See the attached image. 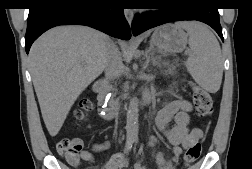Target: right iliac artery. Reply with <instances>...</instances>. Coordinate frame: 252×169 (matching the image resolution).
Returning <instances> with one entry per match:
<instances>
[{"mask_svg":"<svg viewBox=\"0 0 252 169\" xmlns=\"http://www.w3.org/2000/svg\"><path fill=\"white\" fill-rule=\"evenodd\" d=\"M131 147H132V140H127L126 146H125V149H124V153L127 154L129 152V150L131 149Z\"/></svg>","mask_w":252,"mask_h":169,"instance_id":"obj_1","label":"right iliac artery"}]
</instances>
